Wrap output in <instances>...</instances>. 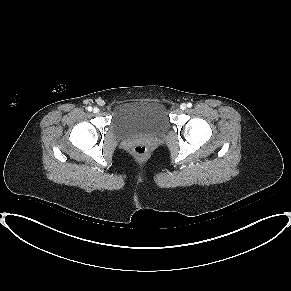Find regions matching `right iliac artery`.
Listing matches in <instances>:
<instances>
[{"instance_id": "right-iliac-artery-1", "label": "right iliac artery", "mask_w": 291, "mask_h": 291, "mask_svg": "<svg viewBox=\"0 0 291 291\" xmlns=\"http://www.w3.org/2000/svg\"><path fill=\"white\" fill-rule=\"evenodd\" d=\"M87 110L90 112V111H92V107L91 106H88L87 107Z\"/></svg>"}]
</instances>
